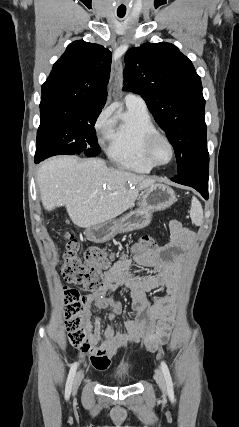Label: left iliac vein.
<instances>
[{
    "mask_svg": "<svg viewBox=\"0 0 239 427\" xmlns=\"http://www.w3.org/2000/svg\"><path fill=\"white\" fill-rule=\"evenodd\" d=\"M154 378H155L156 383L158 384L160 390L162 391V393L165 394L166 393V383H165L164 376H163L160 369L155 370Z\"/></svg>",
    "mask_w": 239,
    "mask_h": 427,
    "instance_id": "4c4485c4",
    "label": "left iliac vein"
}]
</instances>
